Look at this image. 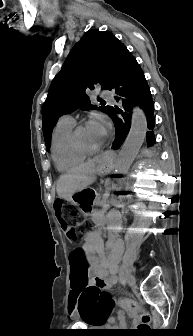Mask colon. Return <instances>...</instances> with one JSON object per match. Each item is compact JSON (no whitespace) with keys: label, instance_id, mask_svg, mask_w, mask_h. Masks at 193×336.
<instances>
[{"label":"colon","instance_id":"colon-1","mask_svg":"<svg viewBox=\"0 0 193 336\" xmlns=\"http://www.w3.org/2000/svg\"><path fill=\"white\" fill-rule=\"evenodd\" d=\"M58 219L70 241H77L79 237L78 226L75 225L80 220L79 212L65 201H60L56 205ZM71 272L75 278L73 286L76 291L75 301L78 304V311L81 316L89 317V302L94 297H101L104 300L109 298L103 289V283L97 280L93 285H88L87 263L82 250H76L70 257ZM124 305L133 312L139 313L141 324L137 331H143L149 327L151 315L146 312L139 304L124 301Z\"/></svg>","mask_w":193,"mask_h":336}]
</instances>
